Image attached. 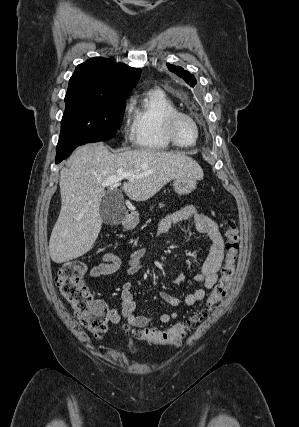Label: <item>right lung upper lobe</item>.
I'll return each mask as SVG.
<instances>
[{"label": "right lung upper lobe", "mask_w": 299, "mask_h": 427, "mask_svg": "<svg viewBox=\"0 0 299 427\" xmlns=\"http://www.w3.org/2000/svg\"><path fill=\"white\" fill-rule=\"evenodd\" d=\"M141 70L109 59L95 57L78 65L69 80L65 100L78 97L128 96Z\"/></svg>", "instance_id": "obj_1"}]
</instances>
